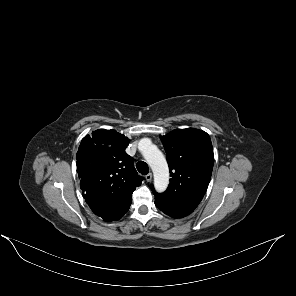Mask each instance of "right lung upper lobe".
Instances as JSON below:
<instances>
[{
	"mask_svg": "<svg viewBox=\"0 0 296 296\" xmlns=\"http://www.w3.org/2000/svg\"><path fill=\"white\" fill-rule=\"evenodd\" d=\"M130 140L115 130L99 129L85 136L77 152V172L89 206L131 200L142 177L126 152Z\"/></svg>",
	"mask_w": 296,
	"mask_h": 296,
	"instance_id": "cb5924a9",
	"label": "right lung upper lobe"
}]
</instances>
